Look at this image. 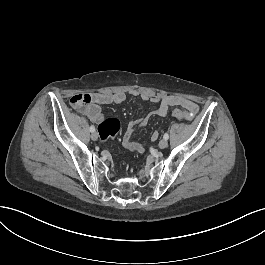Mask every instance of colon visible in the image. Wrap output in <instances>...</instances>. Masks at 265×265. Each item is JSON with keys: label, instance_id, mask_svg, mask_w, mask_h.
Returning a JSON list of instances; mask_svg holds the SVG:
<instances>
[{"label": "colon", "instance_id": "obj_1", "mask_svg": "<svg viewBox=\"0 0 265 265\" xmlns=\"http://www.w3.org/2000/svg\"><path fill=\"white\" fill-rule=\"evenodd\" d=\"M69 107L71 109H79L80 107H87L90 104V97L87 94L73 95L69 100ZM179 110V111H178ZM179 108L173 112L174 117L177 119H186ZM121 130V123L119 119L110 118L103 120L98 126L99 138L102 142H106L114 138Z\"/></svg>", "mask_w": 265, "mask_h": 265}]
</instances>
